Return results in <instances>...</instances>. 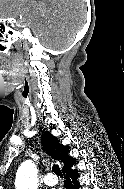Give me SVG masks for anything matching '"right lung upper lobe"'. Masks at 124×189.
<instances>
[{"label": "right lung upper lobe", "instance_id": "obj_1", "mask_svg": "<svg viewBox=\"0 0 124 189\" xmlns=\"http://www.w3.org/2000/svg\"><path fill=\"white\" fill-rule=\"evenodd\" d=\"M41 142L44 150L52 158L63 163V170L75 162V160L69 157L67 147L60 144L59 140L52 136L50 132L46 131L42 135Z\"/></svg>", "mask_w": 124, "mask_h": 189}]
</instances>
